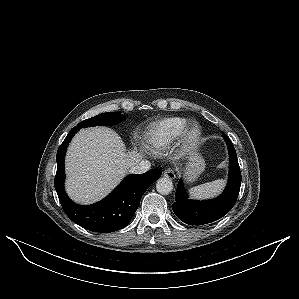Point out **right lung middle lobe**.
Returning a JSON list of instances; mask_svg holds the SVG:
<instances>
[{"mask_svg": "<svg viewBox=\"0 0 299 299\" xmlns=\"http://www.w3.org/2000/svg\"><path fill=\"white\" fill-rule=\"evenodd\" d=\"M124 117L125 116L120 114V112L102 113L82 121L76 127L80 129L81 127L114 125L121 122Z\"/></svg>", "mask_w": 299, "mask_h": 299, "instance_id": "right-lung-middle-lobe-1", "label": "right lung middle lobe"}]
</instances>
